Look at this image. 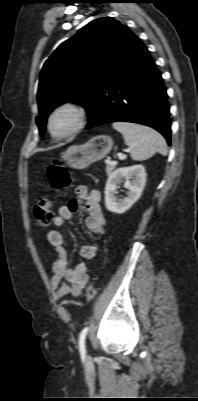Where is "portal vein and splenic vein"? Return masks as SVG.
Segmentation results:
<instances>
[{
    "label": "portal vein and splenic vein",
    "mask_w": 198,
    "mask_h": 401,
    "mask_svg": "<svg viewBox=\"0 0 198 401\" xmlns=\"http://www.w3.org/2000/svg\"><path fill=\"white\" fill-rule=\"evenodd\" d=\"M119 156H120L122 159H125V158H126V155H125V154H121V153H120ZM106 163H112V162H111L110 159H107V160H106Z\"/></svg>",
    "instance_id": "1"
}]
</instances>
